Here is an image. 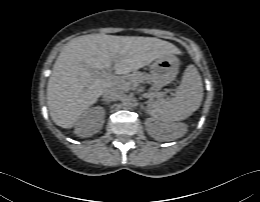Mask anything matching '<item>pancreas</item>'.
<instances>
[{
  "mask_svg": "<svg viewBox=\"0 0 260 202\" xmlns=\"http://www.w3.org/2000/svg\"><path fill=\"white\" fill-rule=\"evenodd\" d=\"M147 79L148 75L141 72H134L133 74H129L121 79L117 87H119L122 91H127L132 84H138Z\"/></svg>",
  "mask_w": 260,
  "mask_h": 202,
  "instance_id": "obj_1",
  "label": "pancreas"
}]
</instances>
